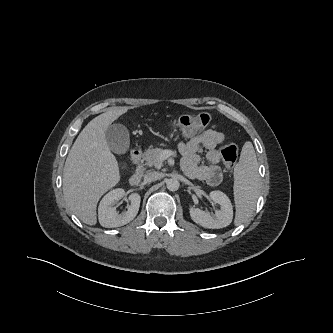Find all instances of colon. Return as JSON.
<instances>
[{"mask_svg":"<svg viewBox=\"0 0 333 333\" xmlns=\"http://www.w3.org/2000/svg\"><path fill=\"white\" fill-rule=\"evenodd\" d=\"M210 117L206 113L195 115H182L174 120L173 126L185 135H192L208 126ZM221 157L225 166L232 169L238 159V148L232 143L228 142L222 145L220 150Z\"/></svg>","mask_w":333,"mask_h":333,"instance_id":"1","label":"colon"}]
</instances>
